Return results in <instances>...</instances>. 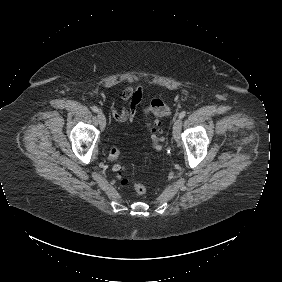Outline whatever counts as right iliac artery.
Wrapping results in <instances>:
<instances>
[{"label": "right iliac artery", "instance_id": "right-iliac-artery-1", "mask_svg": "<svg viewBox=\"0 0 282 282\" xmlns=\"http://www.w3.org/2000/svg\"><path fill=\"white\" fill-rule=\"evenodd\" d=\"M92 110H93L95 113L99 112V109H98L96 106H92Z\"/></svg>", "mask_w": 282, "mask_h": 282}]
</instances>
